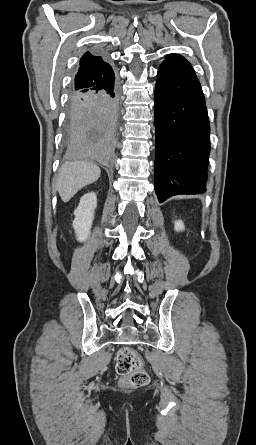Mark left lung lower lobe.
<instances>
[{
  "label": "left lung lower lobe",
  "mask_w": 256,
  "mask_h": 445,
  "mask_svg": "<svg viewBox=\"0 0 256 445\" xmlns=\"http://www.w3.org/2000/svg\"><path fill=\"white\" fill-rule=\"evenodd\" d=\"M155 192L162 203L178 194L206 191L210 126L195 74L168 63L155 86Z\"/></svg>",
  "instance_id": "obj_1"
}]
</instances>
